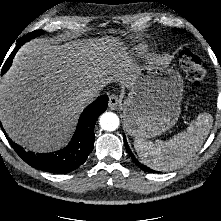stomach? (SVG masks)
Here are the masks:
<instances>
[{"instance_id": "0dacf381", "label": "stomach", "mask_w": 221, "mask_h": 221, "mask_svg": "<svg viewBox=\"0 0 221 221\" xmlns=\"http://www.w3.org/2000/svg\"><path fill=\"white\" fill-rule=\"evenodd\" d=\"M183 82L158 61L139 71L123 104L126 131L133 137L151 138L172 128L181 113Z\"/></svg>"}]
</instances>
